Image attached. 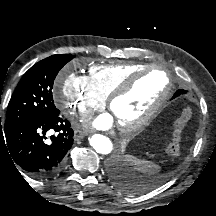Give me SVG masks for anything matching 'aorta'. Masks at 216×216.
Listing matches in <instances>:
<instances>
[{"instance_id": "1", "label": "aorta", "mask_w": 216, "mask_h": 216, "mask_svg": "<svg viewBox=\"0 0 216 216\" xmlns=\"http://www.w3.org/2000/svg\"><path fill=\"white\" fill-rule=\"evenodd\" d=\"M90 145L93 147V149L102 155L110 154L113 150V143L112 141L101 134H94L89 139Z\"/></svg>"}]
</instances>
